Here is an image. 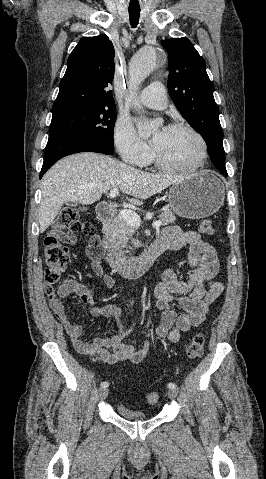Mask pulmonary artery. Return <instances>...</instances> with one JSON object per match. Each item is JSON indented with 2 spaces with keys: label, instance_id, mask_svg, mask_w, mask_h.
Returning a JSON list of instances; mask_svg holds the SVG:
<instances>
[{
  "label": "pulmonary artery",
  "instance_id": "pulmonary-artery-1",
  "mask_svg": "<svg viewBox=\"0 0 266 479\" xmlns=\"http://www.w3.org/2000/svg\"><path fill=\"white\" fill-rule=\"evenodd\" d=\"M142 104L152 109H164L168 99L164 86L160 82H153L148 85L140 96Z\"/></svg>",
  "mask_w": 266,
  "mask_h": 479
}]
</instances>
